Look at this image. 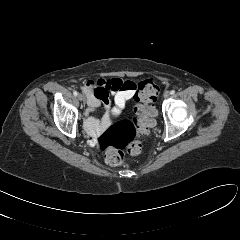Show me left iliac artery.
<instances>
[{
  "mask_svg": "<svg viewBox=\"0 0 240 240\" xmlns=\"http://www.w3.org/2000/svg\"><path fill=\"white\" fill-rule=\"evenodd\" d=\"M170 94H171V95L175 94V90H171V91H170Z\"/></svg>",
  "mask_w": 240,
  "mask_h": 240,
  "instance_id": "44dca946",
  "label": "left iliac artery"
}]
</instances>
